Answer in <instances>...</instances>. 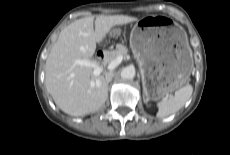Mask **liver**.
<instances>
[{"label":"liver","instance_id":"1","mask_svg":"<svg viewBox=\"0 0 230 155\" xmlns=\"http://www.w3.org/2000/svg\"><path fill=\"white\" fill-rule=\"evenodd\" d=\"M127 15H99L78 19L65 27L52 46L45 66L46 89L55 104L72 116L94 113L108 96V82L103 74L93 75L91 68L77 65L76 59L90 60L96 44L103 41L116 25L136 21Z\"/></svg>","mask_w":230,"mask_h":155}]
</instances>
